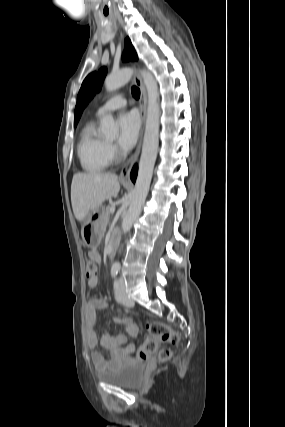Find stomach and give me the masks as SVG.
I'll return each instance as SVG.
<instances>
[{"label": "stomach", "mask_w": 285, "mask_h": 427, "mask_svg": "<svg viewBox=\"0 0 285 427\" xmlns=\"http://www.w3.org/2000/svg\"><path fill=\"white\" fill-rule=\"evenodd\" d=\"M103 211L104 210L102 207L94 209L86 216L84 220L81 234L86 245L90 247H96L100 243V220Z\"/></svg>", "instance_id": "0dacf381"}]
</instances>
